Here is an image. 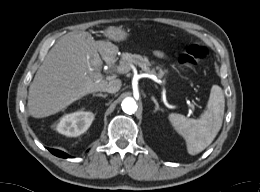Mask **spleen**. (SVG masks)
Here are the masks:
<instances>
[{
  "instance_id": "spleen-1",
  "label": "spleen",
  "mask_w": 260,
  "mask_h": 192,
  "mask_svg": "<svg viewBox=\"0 0 260 192\" xmlns=\"http://www.w3.org/2000/svg\"><path fill=\"white\" fill-rule=\"evenodd\" d=\"M225 98L221 87L211 88L207 110L199 119H188L184 115L171 113L168 117L174 129L185 139L187 151L196 155L208 147L221 129Z\"/></svg>"
}]
</instances>
